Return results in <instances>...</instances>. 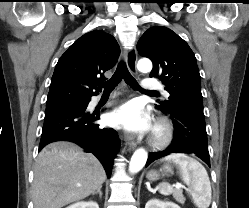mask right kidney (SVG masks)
Returning a JSON list of instances; mask_svg holds the SVG:
<instances>
[{"label": "right kidney", "instance_id": "1", "mask_svg": "<svg viewBox=\"0 0 249 208\" xmlns=\"http://www.w3.org/2000/svg\"><path fill=\"white\" fill-rule=\"evenodd\" d=\"M66 208H99V205L96 202L89 201V202H78Z\"/></svg>", "mask_w": 249, "mask_h": 208}]
</instances>
